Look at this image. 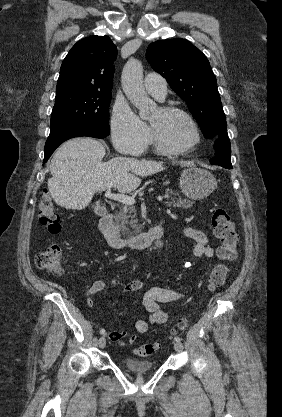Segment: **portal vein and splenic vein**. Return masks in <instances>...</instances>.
<instances>
[{
	"mask_svg": "<svg viewBox=\"0 0 282 417\" xmlns=\"http://www.w3.org/2000/svg\"><path fill=\"white\" fill-rule=\"evenodd\" d=\"M105 196H107V198H112V200H119V202H124V204H134V202H136L134 196H128V194H114L111 188H107ZM152 199L158 200L159 203L164 202L163 195L152 196Z\"/></svg>",
	"mask_w": 282,
	"mask_h": 417,
	"instance_id": "portal-vein-and-splenic-vein-1",
	"label": "portal vein and splenic vein"
}]
</instances>
